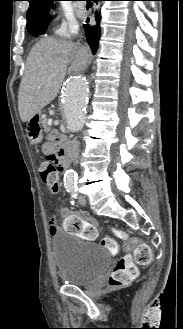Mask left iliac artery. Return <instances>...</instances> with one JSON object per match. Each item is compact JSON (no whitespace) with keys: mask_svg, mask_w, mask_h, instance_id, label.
Here are the masks:
<instances>
[{"mask_svg":"<svg viewBox=\"0 0 183 329\" xmlns=\"http://www.w3.org/2000/svg\"><path fill=\"white\" fill-rule=\"evenodd\" d=\"M73 196L76 198L77 197V189L70 190Z\"/></svg>","mask_w":183,"mask_h":329,"instance_id":"44dca946","label":"left iliac artery"}]
</instances>
